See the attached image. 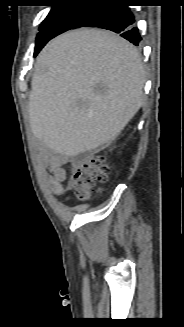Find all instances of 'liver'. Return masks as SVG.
Here are the masks:
<instances>
[{"label": "liver", "mask_w": 184, "mask_h": 327, "mask_svg": "<svg viewBox=\"0 0 184 327\" xmlns=\"http://www.w3.org/2000/svg\"><path fill=\"white\" fill-rule=\"evenodd\" d=\"M137 49L104 30L64 33L41 51L31 81L32 133L67 157L110 144L143 103Z\"/></svg>", "instance_id": "obj_1"}]
</instances>
